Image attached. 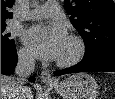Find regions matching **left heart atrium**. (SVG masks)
I'll list each match as a JSON object with an SVG mask.
<instances>
[{
    "label": "left heart atrium",
    "mask_w": 115,
    "mask_h": 99,
    "mask_svg": "<svg viewBox=\"0 0 115 99\" xmlns=\"http://www.w3.org/2000/svg\"><path fill=\"white\" fill-rule=\"evenodd\" d=\"M67 40L65 29L58 23L34 25L24 35V41L30 51L45 60L58 59Z\"/></svg>",
    "instance_id": "obj_1"
}]
</instances>
